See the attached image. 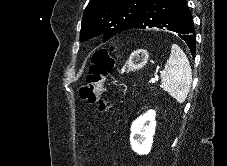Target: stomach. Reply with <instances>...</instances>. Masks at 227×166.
I'll list each match as a JSON object with an SVG mask.
<instances>
[{
  "label": "stomach",
  "mask_w": 227,
  "mask_h": 166,
  "mask_svg": "<svg viewBox=\"0 0 227 166\" xmlns=\"http://www.w3.org/2000/svg\"><path fill=\"white\" fill-rule=\"evenodd\" d=\"M149 60V53L145 49H138L131 53L121 72H130L142 69Z\"/></svg>",
  "instance_id": "0dacf381"
}]
</instances>
